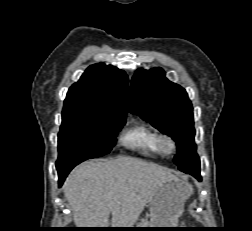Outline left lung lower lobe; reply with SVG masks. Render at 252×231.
I'll use <instances>...</instances> for the list:
<instances>
[{"label":"left lung lower lobe","instance_id":"left-lung-lower-lobe-1","mask_svg":"<svg viewBox=\"0 0 252 231\" xmlns=\"http://www.w3.org/2000/svg\"><path fill=\"white\" fill-rule=\"evenodd\" d=\"M183 172L188 173V174H191V175H193L194 177L200 179V168L188 169V170H185V171H183Z\"/></svg>","mask_w":252,"mask_h":231}]
</instances>
